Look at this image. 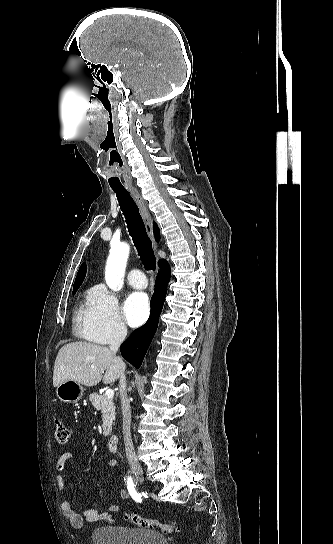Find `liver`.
I'll use <instances>...</instances> for the list:
<instances>
[{
    "label": "liver",
    "instance_id": "6515ba94",
    "mask_svg": "<svg viewBox=\"0 0 333 544\" xmlns=\"http://www.w3.org/2000/svg\"><path fill=\"white\" fill-rule=\"evenodd\" d=\"M123 370L125 363L107 347L85 341L72 342L64 345L58 352L54 364L53 386L73 380L90 387L97 385L102 378L104 384H111Z\"/></svg>",
    "mask_w": 333,
    "mask_h": 544
}]
</instances>
